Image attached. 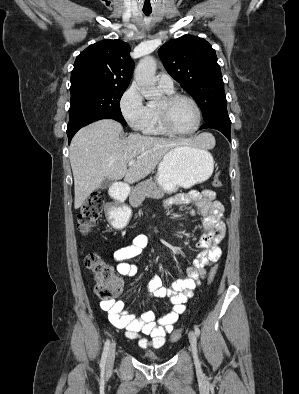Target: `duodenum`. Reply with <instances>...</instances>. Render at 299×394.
I'll return each instance as SVG.
<instances>
[{
  "label": "duodenum",
  "mask_w": 299,
  "mask_h": 394,
  "mask_svg": "<svg viewBox=\"0 0 299 394\" xmlns=\"http://www.w3.org/2000/svg\"><path fill=\"white\" fill-rule=\"evenodd\" d=\"M127 190L128 189L124 184H119L111 190V196L116 202H121L124 199ZM116 202L110 203L107 206V218L112 222L117 221L118 204Z\"/></svg>",
  "instance_id": "1"
}]
</instances>
